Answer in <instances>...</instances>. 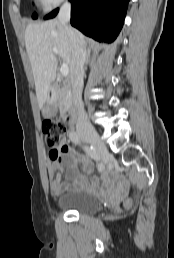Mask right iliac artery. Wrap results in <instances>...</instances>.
Instances as JSON below:
<instances>
[{
    "instance_id": "82829eb1",
    "label": "right iliac artery",
    "mask_w": 174,
    "mask_h": 258,
    "mask_svg": "<svg viewBox=\"0 0 174 258\" xmlns=\"http://www.w3.org/2000/svg\"><path fill=\"white\" fill-rule=\"evenodd\" d=\"M70 139L75 143V144H79L82 145L84 151L86 152V154L88 156H90L91 158L100 161V155L98 154V152L92 147V146H87V145H83L81 138L79 137V135L76 132H71L70 133ZM98 170L100 172H102L104 170V164L102 161L99 162L98 164Z\"/></svg>"
}]
</instances>
